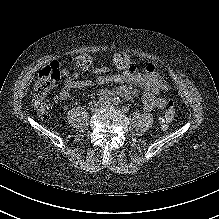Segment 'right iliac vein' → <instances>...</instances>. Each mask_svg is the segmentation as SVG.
Returning a JSON list of instances; mask_svg holds the SVG:
<instances>
[{
    "mask_svg": "<svg viewBox=\"0 0 219 219\" xmlns=\"http://www.w3.org/2000/svg\"><path fill=\"white\" fill-rule=\"evenodd\" d=\"M102 105H103V104L100 103V102L94 103V105H93L92 108H91L92 112L98 111V110L102 107Z\"/></svg>",
    "mask_w": 219,
    "mask_h": 219,
    "instance_id": "63e3f726",
    "label": "right iliac vein"
}]
</instances>
